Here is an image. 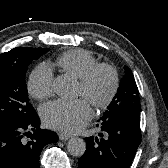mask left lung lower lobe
I'll return each instance as SVG.
<instances>
[{"label": "left lung lower lobe", "mask_w": 168, "mask_h": 168, "mask_svg": "<svg viewBox=\"0 0 168 168\" xmlns=\"http://www.w3.org/2000/svg\"><path fill=\"white\" fill-rule=\"evenodd\" d=\"M101 129L102 138L85 139L86 151L79 159V168H129L141 141L140 114L103 117Z\"/></svg>", "instance_id": "obj_1"}]
</instances>
